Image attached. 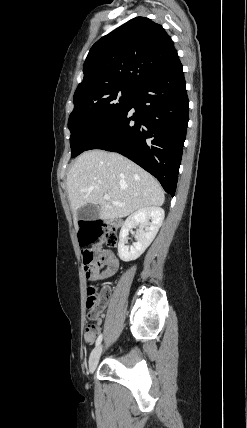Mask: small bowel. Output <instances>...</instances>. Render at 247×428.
Segmentation results:
<instances>
[{
    "label": "small bowel",
    "instance_id": "c3829d8e",
    "mask_svg": "<svg viewBox=\"0 0 247 428\" xmlns=\"http://www.w3.org/2000/svg\"><path fill=\"white\" fill-rule=\"evenodd\" d=\"M101 258H102V266H106V268L104 271H101L102 266L97 267L94 273L95 279L106 278L114 274L118 269V260L116 259V257L113 255L112 252L103 251ZM95 319H96V324H95L94 332L92 334H85V340L89 343H92L95 340L96 335L100 329V319L99 318H95Z\"/></svg>",
    "mask_w": 247,
    "mask_h": 428
}]
</instances>
